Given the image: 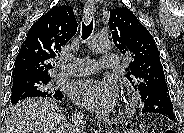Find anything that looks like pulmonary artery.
<instances>
[{"instance_id":"obj_1","label":"pulmonary artery","mask_w":184,"mask_h":133,"mask_svg":"<svg viewBox=\"0 0 184 133\" xmlns=\"http://www.w3.org/2000/svg\"><path fill=\"white\" fill-rule=\"evenodd\" d=\"M119 63V57L114 54H105L100 59L101 68L115 69ZM100 69L97 62L88 58H71V62L59 69V75L79 76L85 74H92Z\"/></svg>"}]
</instances>
